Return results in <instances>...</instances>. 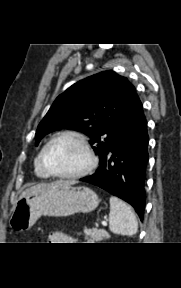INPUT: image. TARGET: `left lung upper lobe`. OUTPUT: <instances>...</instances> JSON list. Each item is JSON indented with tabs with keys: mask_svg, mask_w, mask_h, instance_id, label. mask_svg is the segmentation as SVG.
Returning <instances> with one entry per match:
<instances>
[{
	"mask_svg": "<svg viewBox=\"0 0 181 288\" xmlns=\"http://www.w3.org/2000/svg\"><path fill=\"white\" fill-rule=\"evenodd\" d=\"M127 78L104 71L78 81L59 95L38 125L36 145L59 129L80 131L101 160L122 127L136 98Z\"/></svg>",
	"mask_w": 181,
	"mask_h": 288,
	"instance_id": "1",
	"label": "left lung upper lobe"
}]
</instances>
